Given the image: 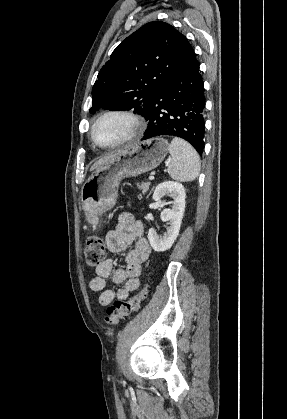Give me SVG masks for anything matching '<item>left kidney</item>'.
<instances>
[{"label": "left kidney", "mask_w": 287, "mask_h": 419, "mask_svg": "<svg viewBox=\"0 0 287 419\" xmlns=\"http://www.w3.org/2000/svg\"><path fill=\"white\" fill-rule=\"evenodd\" d=\"M165 195L172 197L173 207L161 212V220L168 221L170 226L163 236H159L154 228H150L148 232L150 245L156 252H163L171 248L179 234L185 210L186 194L182 184L174 181H165L158 184L153 193V200L160 201Z\"/></svg>", "instance_id": "1"}]
</instances>
